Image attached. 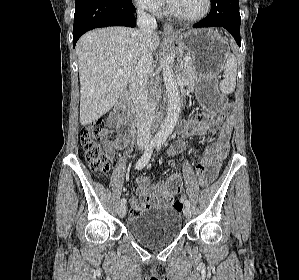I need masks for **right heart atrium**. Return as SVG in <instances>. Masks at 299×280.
<instances>
[{"mask_svg":"<svg viewBox=\"0 0 299 280\" xmlns=\"http://www.w3.org/2000/svg\"><path fill=\"white\" fill-rule=\"evenodd\" d=\"M135 3L149 12H157L163 5V0H134Z\"/></svg>","mask_w":299,"mask_h":280,"instance_id":"obj_1","label":"right heart atrium"}]
</instances>
